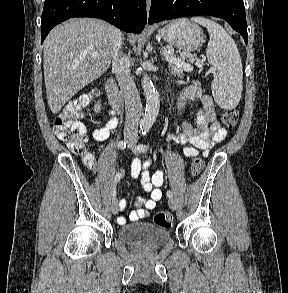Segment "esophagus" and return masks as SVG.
Segmentation results:
<instances>
[{
  "label": "esophagus",
  "instance_id": "34e87169",
  "mask_svg": "<svg viewBox=\"0 0 288 293\" xmlns=\"http://www.w3.org/2000/svg\"><path fill=\"white\" fill-rule=\"evenodd\" d=\"M150 6H151V0H146L147 12H149Z\"/></svg>",
  "mask_w": 288,
  "mask_h": 293
}]
</instances>
